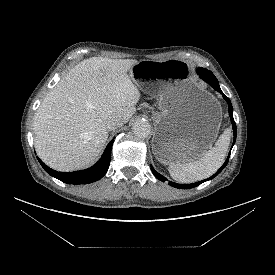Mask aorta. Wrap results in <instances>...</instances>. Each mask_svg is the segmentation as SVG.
Returning a JSON list of instances; mask_svg holds the SVG:
<instances>
[{"instance_id":"obj_1","label":"aorta","mask_w":275,"mask_h":275,"mask_svg":"<svg viewBox=\"0 0 275 275\" xmlns=\"http://www.w3.org/2000/svg\"><path fill=\"white\" fill-rule=\"evenodd\" d=\"M132 131L139 138H146L151 131V125L144 119L136 120L132 125Z\"/></svg>"}]
</instances>
